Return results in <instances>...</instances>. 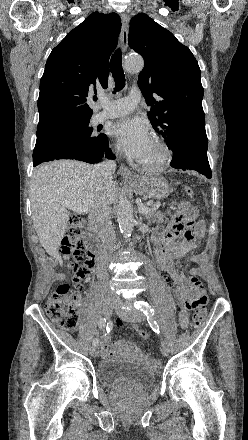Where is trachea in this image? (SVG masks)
Masks as SVG:
<instances>
[{
    "instance_id": "3493384b",
    "label": "trachea",
    "mask_w": 248,
    "mask_h": 440,
    "mask_svg": "<svg viewBox=\"0 0 248 440\" xmlns=\"http://www.w3.org/2000/svg\"><path fill=\"white\" fill-rule=\"evenodd\" d=\"M110 68L115 81V93L125 87V75L122 68V53L120 49L116 50L112 55Z\"/></svg>"
}]
</instances>
